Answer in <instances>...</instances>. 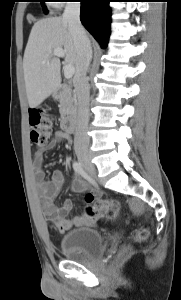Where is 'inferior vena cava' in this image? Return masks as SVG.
<instances>
[{"instance_id": "obj_1", "label": "inferior vena cava", "mask_w": 181, "mask_h": 300, "mask_svg": "<svg viewBox=\"0 0 181 300\" xmlns=\"http://www.w3.org/2000/svg\"><path fill=\"white\" fill-rule=\"evenodd\" d=\"M63 20L68 24L77 53L76 73L73 80L78 100L74 149L76 153H79L86 151L89 144L87 129L90 115V86L86 75L92 60V48L80 22V2L67 3L63 13Z\"/></svg>"}]
</instances>
